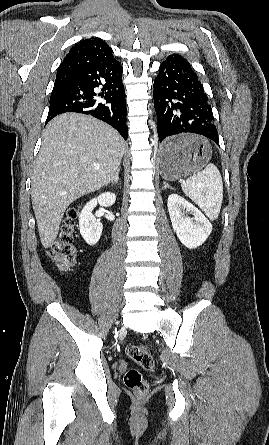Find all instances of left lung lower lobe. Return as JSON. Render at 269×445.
<instances>
[{
	"mask_svg": "<svg viewBox=\"0 0 269 445\" xmlns=\"http://www.w3.org/2000/svg\"><path fill=\"white\" fill-rule=\"evenodd\" d=\"M154 107L158 137L164 155L180 152L181 145L170 140L180 133H195L218 143L212 108L198 76L189 62L178 54L160 65L154 81Z\"/></svg>",
	"mask_w": 269,
	"mask_h": 445,
	"instance_id": "left-lung-lower-lobe-1",
	"label": "left lung lower lobe"
}]
</instances>
